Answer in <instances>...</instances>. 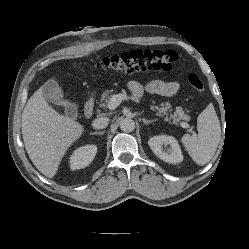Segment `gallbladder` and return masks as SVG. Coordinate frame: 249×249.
Segmentation results:
<instances>
[{
	"mask_svg": "<svg viewBox=\"0 0 249 249\" xmlns=\"http://www.w3.org/2000/svg\"><path fill=\"white\" fill-rule=\"evenodd\" d=\"M43 96L48 102L63 106L66 116L73 119L77 118L78 111L76 105L64 99L63 92L56 80L50 79L43 85Z\"/></svg>",
	"mask_w": 249,
	"mask_h": 249,
	"instance_id": "gallbladder-1",
	"label": "gallbladder"
}]
</instances>
